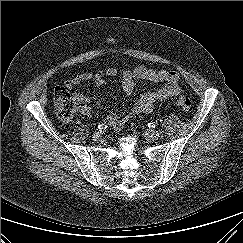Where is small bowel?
Instances as JSON below:
<instances>
[{
  "label": "small bowel",
  "mask_w": 243,
  "mask_h": 243,
  "mask_svg": "<svg viewBox=\"0 0 243 243\" xmlns=\"http://www.w3.org/2000/svg\"><path fill=\"white\" fill-rule=\"evenodd\" d=\"M119 76L122 88L125 93L131 94L135 88V82L138 80H146L155 83H163V86L156 91H146L140 94L137 101L132 106L130 112L120 119L116 112L110 113L106 122L113 128H120L128 119L142 113H149L153 110L157 101L174 97L180 93L179 74L171 70H156L145 65H139L133 70L124 69L119 72L114 67L96 72H83L66 81L67 88L78 86L83 82L93 81L96 85L101 86L105 83L106 77L114 78ZM77 101V110L82 115H89L91 108L88 105V98L80 93H75Z\"/></svg>",
  "instance_id": "small-bowel-1"
}]
</instances>
